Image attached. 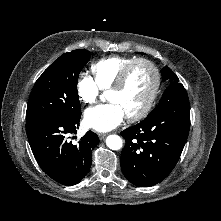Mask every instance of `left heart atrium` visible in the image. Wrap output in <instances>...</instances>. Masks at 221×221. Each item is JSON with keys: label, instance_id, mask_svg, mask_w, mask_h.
<instances>
[{"label": "left heart atrium", "instance_id": "1", "mask_svg": "<svg viewBox=\"0 0 221 221\" xmlns=\"http://www.w3.org/2000/svg\"><path fill=\"white\" fill-rule=\"evenodd\" d=\"M124 118L125 113L121 106L117 103L110 102L86 110L84 123L91 129L106 132L120 125Z\"/></svg>", "mask_w": 221, "mask_h": 221}]
</instances>
